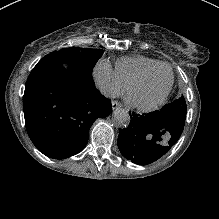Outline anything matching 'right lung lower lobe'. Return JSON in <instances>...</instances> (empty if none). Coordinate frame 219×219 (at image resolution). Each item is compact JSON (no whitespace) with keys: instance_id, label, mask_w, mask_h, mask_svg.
<instances>
[{"instance_id":"98d812e1","label":"right lung lower lobe","mask_w":219,"mask_h":219,"mask_svg":"<svg viewBox=\"0 0 219 219\" xmlns=\"http://www.w3.org/2000/svg\"><path fill=\"white\" fill-rule=\"evenodd\" d=\"M67 59L38 63L25 86L23 108L28 135L34 145L52 158H67L86 145L89 129L98 117L112 110L92 80V70Z\"/></svg>"}]
</instances>
